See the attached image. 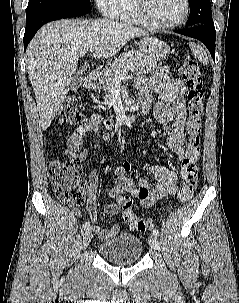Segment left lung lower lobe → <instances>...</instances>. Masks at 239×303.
I'll list each match as a JSON object with an SVG mask.
<instances>
[{"label":"left lung lower lobe","instance_id":"left-lung-lower-lobe-1","mask_svg":"<svg viewBox=\"0 0 239 303\" xmlns=\"http://www.w3.org/2000/svg\"><path fill=\"white\" fill-rule=\"evenodd\" d=\"M176 33L183 34L201 41L211 53L212 58L215 60V39L216 32L213 25L201 24L189 27L187 29L176 30Z\"/></svg>","mask_w":239,"mask_h":303}]
</instances>
